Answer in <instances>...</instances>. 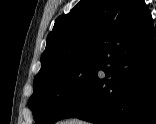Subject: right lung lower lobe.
Listing matches in <instances>:
<instances>
[{"instance_id":"obj_1","label":"right lung lower lobe","mask_w":156,"mask_h":124,"mask_svg":"<svg viewBox=\"0 0 156 124\" xmlns=\"http://www.w3.org/2000/svg\"><path fill=\"white\" fill-rule=\"evenodd\" d=\"M156 31L129 32L109 47L96 76L60 119L96 124H156ZM102 70L105 78L98 75Z\"/></svg>"}]
</instances>
